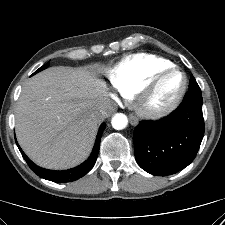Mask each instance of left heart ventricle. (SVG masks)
I'll list each match as a JSON object with an SVG mask.
<instances>
[{
    "mask_svg": "<svg viewBox=\"0 0 225 225\" xmlns=\"http://www.w3.org/2000/svg\"><path fill=\"white\" fill-rule=\"evenodd\" d=\"M179 81L180 77L177 74L171 75L164 79L149 99L148 104L152 107H155L165 103L174 93Z\"/></svg>",
    "mask_w": 225,
    "mask_h": 225,
    "instance_id": "1",
    "label": "left heart ventricle"
}]
</instances>
